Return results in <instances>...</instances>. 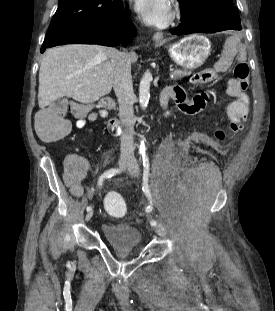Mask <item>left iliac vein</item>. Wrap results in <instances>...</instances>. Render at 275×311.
Instances as JSON below:
<instances>
[{"label": "left iliac vein", "instance_id": "obj_1", "mask_svg": "<svg viewBox=\"0 0 275 311\" xmlns=\"http://www.w3.org/2000/svg\"><path fill=\"white\" fill-rule=\"evenodd\" d=\"M127 170L131 176L138 177L140 168L136 159L131 160V164L128 166ZM154 230L160 236L166 235V230L161 224L156 225Z\"/></svg>", "mask_w": 275, "mask_h": 311}]
</instances>
